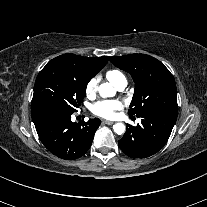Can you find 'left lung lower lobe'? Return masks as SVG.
Listing matches in <instances>:
<instances>
[{
  "label": "left lung lower lobe",
  "instance_id": "left-lung-lower-lobe-1",
  "mask_svg": "<svg viewBox=\"0 0 207 207\" xmlns=\"http://www.w3.org/2000/svg\"><path fill=\"white\" fill-rule=\"evenodd\" d=\"M141 124L127 125L124 136L119 140L121 150L132 158H145L157 153L168 141L177 119V112L151 111L139 116Z\"/></svg>",
  "mask_w": 207,
  "mask_h": 207
}]
</instances>
